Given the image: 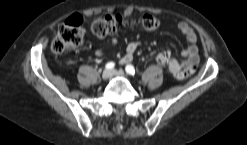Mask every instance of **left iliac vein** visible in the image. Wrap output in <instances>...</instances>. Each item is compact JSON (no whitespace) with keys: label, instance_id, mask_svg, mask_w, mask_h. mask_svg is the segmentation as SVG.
<instances>
[{"label":"left iliac vein","instance_id":"1","mask_svg":"<svg viewBox=\"0 0 247 145\" xmlns=\"http://www.w3.org/2000/svg\"><path fill=\"white\" fill-rule=\"evenodd\" d=\"M112 75L126 77L125 73L122 70H112Z\"/></svg>","mask_w":247,"mask_h":145}]
</instances>
